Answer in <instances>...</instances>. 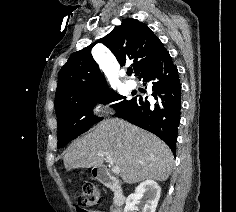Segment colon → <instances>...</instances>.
<instances>
[{
	"label": "colon",
	"instance_id": "obj_1",
	"mask_svg": "<svg viewBox=\"0 0 236 212\" xmlns=\"http://www.w3.org/2000/svg\"><path fill=\"white\" fill-rule=\"evenodd\" d=\"M75 202L82 208L80 212H90L88 209L96 207L101 202L98 187L89 181H84L74 192Z\"/></svg>",
	"mask_w": 236,
	"mask_h": 212
}]
</instances>
